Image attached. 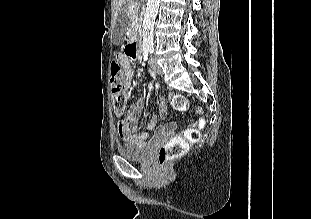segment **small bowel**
<instances>
[{"mask_svg": "<svg viewBox=\"0 0 311 219\" xmlns=\"http://www.w3.org/2000/svg\"><path fill=\"white\" fill-rule=\"evenodd\" d=\"M116 62L122 66L124 70L125 86L131 88L134 83V71L129 56L119 53L116 56ZM143 105L144 99L138 98L135 103L128 107L125 118L117 123L118 135L127 145H141L149 137L150 132L155 129L160 137L166 136L171 132V125H158L159 117L164 116L166 113L165 101L161 99L159 101L160 116L151 114L146 124V130L137 133L136 130L139 125Z\"/></svg>", "mask_w": 311, "mask_h": 219, "instance_id": "c3829d8e", "label": "small bowel"}]
</instances>
